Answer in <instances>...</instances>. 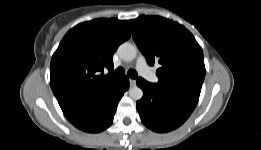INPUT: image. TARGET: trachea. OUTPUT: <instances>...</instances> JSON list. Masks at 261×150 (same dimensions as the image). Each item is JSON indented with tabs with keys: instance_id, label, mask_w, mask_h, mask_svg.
<instances>
[{
	"instance_id": "trachea-1",
	"label": "trachea",
	"mask_w": 261,
	"mask_h": 150,
	"mask_svg": "<svg viewBox=\"0 0 261 150\" xmlns=\"http://www.w3.org/2000/svg\"><path fill=\"white\" fill-rule=\"evenodd\" d=\"M124 73H125V71H124V68H122V67H119V68H117L116 70H115V72H114V74L116 75V76H122V75H124ZM127 75L130 77V78H137V76H138V74H137V72L135 71V70H132V69H130L128 72H127Z\"/></svg>"
}]
</instances>
